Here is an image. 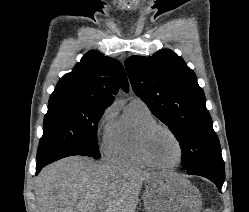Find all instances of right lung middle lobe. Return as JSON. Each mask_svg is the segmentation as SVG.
Masks as SVG:
<instances>
[{
    "instance_id": "obj_1",
    "label": "right lung middle lobe",
    "mask_w": 249,
    "mask_h": 212,
    "mask_svg": "<svg viewBox=\"0 0 249 212\" xmlns=\"http://www.w3.org/2000/svg\"><path fill=\"white\" fill-rule=\"evenodd\" d=\"M106 108L75 99L49 100L37 159L67 153L100 158L97 127Z\"/></svg>"
}]
</instances>
